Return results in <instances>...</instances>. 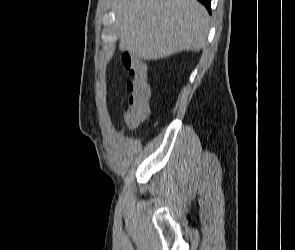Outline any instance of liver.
<instances>
[{
	"mask_svg": "<svg viewBox=\"0 0 295 250\" xmlns=\"http://www.w3.org/2000/svg\"><path fill=\"white\" fill-rule=\"evenodd\" d=\"M120 49L144 60L181 51H199L206 43L209 14L197 0H114Z\"/></svg>",
	"mask_w": 295,
	"mask_h": 250,
	"instance_id": "obj_1",
	"label": "liver"
}]
</instances>
